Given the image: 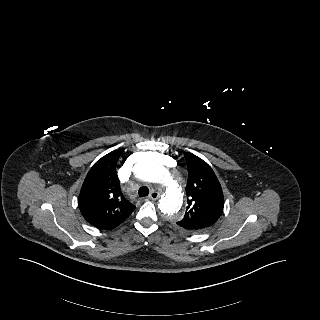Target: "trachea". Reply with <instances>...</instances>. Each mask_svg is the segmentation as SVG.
Segmentation results:
<instances>
[{"label":"trachea","mask_w":320,"mask_h":320,"mask_svg":"<svg viewBox=\"0 0 320 320\" xmlns=\"http://www.w3.org/2000/svg\"><path fill=\"white\" fill-rule=\"evenodd\" d=\"M149 194V189L146 186H143L139 189L138 195L139 197H146Z\"/></svg>","instance_id":"trachea-1"}]
</instances>
